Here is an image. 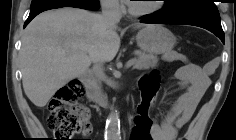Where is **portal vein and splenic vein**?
I'll return each instance as SVG.
<instances>
[{"mask_svg": "<svg viewBox=\"0 0 236 140\" xmlns=\"http://www.w3.org/2000/svg\"><path fill=\"white\" fill-rule=\"evenodd\" d=\"M134 63H135L134 59H130V60L127 61L126 67H127V68H128V67H131Z\"/></svg>", "mask_w": 236, "mask_h": 140, "instance_id": "portal-vein-and-splenic-vein-1", "label": "portal vein and splenic vein"}]
</instances>
